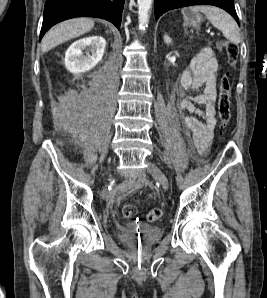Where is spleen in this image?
Instances as JSON below:
<instances>
[{
	"instance_id": "spleen-1",
	"label": "spleen",
	"mask_w": 267,
	"mask_h": 298,
	"mask_svg": "<svg viewBox=\"0 0 267 298\" xmlns=\"http://www.w3.org/2000/svg\"><path fill=\"white\" fill-rule=\"evenodd\" d=\"M193 12H202L214 27L219 29L224 37L233 44L241 42L240 30L234 19L224 10L207 5L191 7Z\"/></svg>"
}]
</instances>
